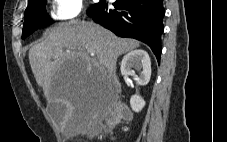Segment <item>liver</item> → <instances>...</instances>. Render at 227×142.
<instances>
[{
    "label": "liver",
    "mask_w": 227,
    "mask_h": 142,
    "mask_svg": "<svg viewBox=\"0 0 227 142\" xmlns=\"http://www.w3.org/2000/svg\"><path fill=\"white\" fill-rule=\"evenodd\" d=\"M45 39L29 50V62L48 103L61 102L67 107L64 133L81 117L83 102L95 90L96 81L106 80L118 87L116 62L119 56L140 46L137 40L119 38L92 22L77 20L59 23L49 28ZM53 59V60H52ZM64 61H89L85 78H55L65 73ZM81 80V85H74Z\"/></svg>",
    "instance_id": "1"
}]
</instances>
